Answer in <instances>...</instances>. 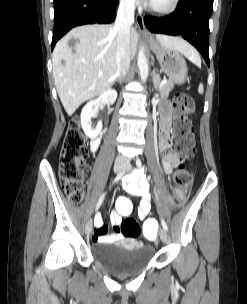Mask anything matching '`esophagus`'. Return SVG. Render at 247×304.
<instances>
[{
    "mask_svg": "<svg viewBox=\"0 0 247 304\" xmlns=\"http://www.w3.org/2000/svg\"><path fill=\"white\" fill-rule=\"evenodd\" d=\"M137 21V26L139 28V30L147 37H150L151 34L150 32L146 29L145 24H144V17L139 14L136 18Z\"/></svg>",
    "mask_w": 247,
    "mask_h": 304,
    "instance_id": "34e87169",
    "label": "esophagus"
}]
</instances>
